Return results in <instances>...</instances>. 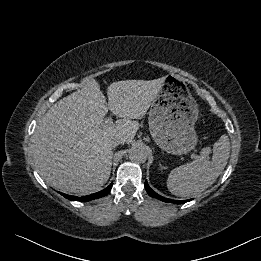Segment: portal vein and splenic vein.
Segmentation results:
<instances>
[{
	"instance_id": "portal-vein-and-splenic-vein-1",
	"label": "portal vein and splenic vein",
	"mask_w": 261,
	"mask_h": 261,
	"mask_svg": "<svg viewBox=\"0 0 261 261\" xmlns=\"http://www.w3.org/2000/svg\"><path fill=\"white\" fill-rule=\"evenodd\" d=\"M112 123H113L112 118L111 117H107L102 125L108 126V125H111ZM191 158L192 159H198L199 156L196 155V154H191Z\"/></svg>"
}]
</instances>
